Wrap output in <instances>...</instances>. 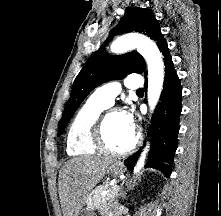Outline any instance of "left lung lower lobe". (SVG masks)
Wrapping results in <instances>:
<instances>
[{"label":"left lung lower lobe","mask_w":221,"mask_h":216,"mask_svg":"<svg viewBox=\"0 0 221 216\" xmlns=\"http://www.w3.org/2000/svg\"><path fill=\"white\" fill-rule=\"evenodd\" d=\"M159 50L164 56L165 78L160 102L158 103L151 123V150L147 167L156 168L166 177L171 174L173 157L177 149V136L179 132V117L181 114L182 88L180 79L174 69V64L169 53L167 42ZM147 73L145 74V78ZM147 88V79L145 83ZM138 152L128 157L124 164L131 170L141 153Z\"/></svg>","instance_id":"0a47b994"}]
</instances>
